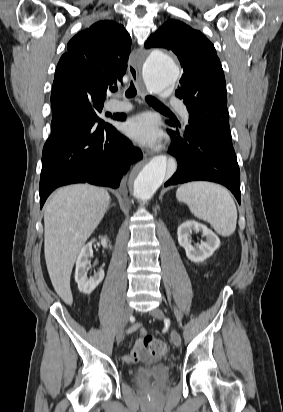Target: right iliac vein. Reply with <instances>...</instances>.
I'll return each mask as SVG.
<instances>
[{"mask_svg":"<svg viewBox=\"0 0 283 412\" xmlns=\"http://www.w3.org/2000/svg\"><path fill=\"white\" fill-rule=\"evenodd\" d=\"M132 308L130 306H125L124 310H123V315H122V320H121V324L117 330V335H116V340L117 343H120L123 338H124V329L128 323L129 317L132 315Z\"/></svg>","mask_w":283,"mask_h":412,"instance_id":"right-iliac-vein-1","label":"right iliac vein"}]
</instances>
